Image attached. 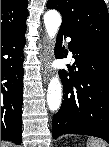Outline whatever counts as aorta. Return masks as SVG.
I'll return each mask as SVG.
<instances>
[{
  "label": "aorta",
  "mask_w": 109,
  "mask_h": 147,
  "mask_svg": "<svg viewBox=\"0 0 109 147\" xmlns=\"http://www.w3.org/2000/svg\"><path fill=\"white\" fill-rule=\"evenodd\" d=\"M62 18L57 10H49L44 15V24L50 39H54L61 25ZM62 100V87L58 76L50 80L47 89V104L51 111L60 108Z\"/></svg>",
  "instance_id": "aorta-1"
}]
</instances>
